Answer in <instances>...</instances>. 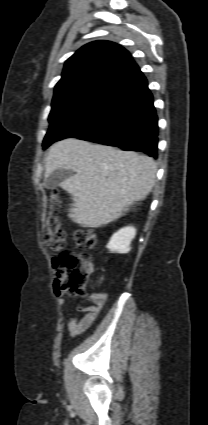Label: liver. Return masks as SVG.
<instances>
[{
    "instance_id": "obj_1",
    "label": "liver",
    "mask_w": 208,
    "mask_h": 425,
    "mask_svg": "<svg viewBox=\"0 0 208 425\" xmlns=\"http://www.w3.org/2000/svg\"><path fill=\"white\" fill-rule=\"evenodd\" d=\"M58 169L76 173L60 185L73 197L68 217L82 227L97 228L146 198L155 184L157 166L145 155L68 138L51 146L45 180Z\"/></svg>"
}]
</instances>
